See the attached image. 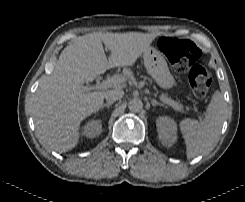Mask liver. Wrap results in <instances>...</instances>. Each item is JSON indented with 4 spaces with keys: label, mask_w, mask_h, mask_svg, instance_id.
I'll list each match as a JSON object with an SVG mask.
<instances>
[{
    "label": "liver",
    "mask_w": 245,
    "mask_h": 202,
    "mask_svg": "<svg viewBox=\"0 0 245 202\" xmlns=\"http://www.w3.org/2000/svg\"><path fill=\"white\" fill-rule=\"evenodd\" d=\"M156 34L92 33L65 47L52 73L40 83L34 98L33 118L41 142L58 152L73 149L81 122L99 110L106 92H85L84 82L113 67L133 66ZM103 44L111 51L109 60Z\"/></svg>",
    "instance_id": "liver-1"
}]
</instances>
